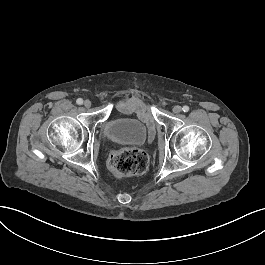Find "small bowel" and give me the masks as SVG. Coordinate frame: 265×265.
Masks as SVG:
<instances>
[{
	"label": "small bowel",
	"mask_w": 265,
	"mask_h": 265,
	"mask_svg": "<svg viewBox=\"0 0 265 265\" xmlns=\"http://www.w3.org/2000/svg\"><path fill=\"white\" fill-rule=\"evenodd\" d=\"M116 107L122 113H130L131 111L137 112L143 121H147L149 138L153 137L154 125L153 122L149 120L151 118V113L150 108L147 105L143 104L137 98H132L127 101H125L124 99H119L116 102Z\"/></svg>",
	"instance_id": "small-bowel-1"
}]
</instances>
